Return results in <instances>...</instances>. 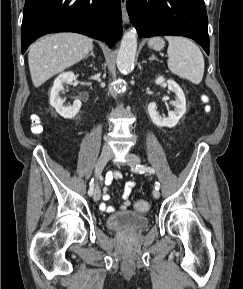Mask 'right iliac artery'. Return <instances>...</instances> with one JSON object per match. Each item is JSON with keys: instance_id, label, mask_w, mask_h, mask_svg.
Here are the masks:
<instances>
[{"instance_id": "right-iliac-artery-1", "label": "right iliac artery", "mask_w": 243, "mask_h": 289, "mask_svg": "<svg viewBox=\"0 0 243 289\" xmlns=\"http://www.w3.org/2000/svg\"><path fill=\"white\" fill-rule=\"evenodd\" d=\"M93 192H94V178H92L89 183V190H88L89 196H92Z\"/></svg>"}]
</instances>
